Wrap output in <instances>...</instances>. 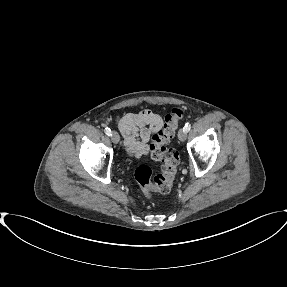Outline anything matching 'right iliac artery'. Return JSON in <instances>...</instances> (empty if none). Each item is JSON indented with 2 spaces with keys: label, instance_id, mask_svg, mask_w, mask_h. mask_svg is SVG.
I'll list each match as a JSON object with an SVG mask.
<instances>
[{
  "label": "right iliac artery",
  "instance_id": "right-iliac-artery-1",
  "mask_svg": "<svg viewBox=\"0 0 287 287\" xmlns=\"http://www.w3.org/2000/svg\"><path fill=\"white\" fill-rule=\"evenodd\" d=\"M105 133H106L108 136H111V130H110V128L106 127V128H105Z\"/></svg>",
  "mask_w": 287,
  "mask_h": 287
}]
</instances>
